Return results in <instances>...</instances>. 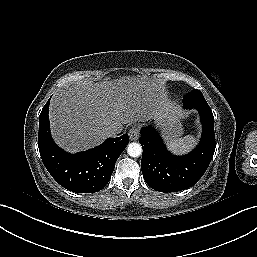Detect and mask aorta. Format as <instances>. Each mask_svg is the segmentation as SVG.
<instances>
[{"label":"aorta","instance_id":"aorta-1","mask_svg":"<svg viewBox=\"0 0 257 257\" xmlns=\"http://www.w3.org/2000/svg\"><path fill=\"white\" fill-rule=\"evenodd\" d=\"M127 153L131 157H139L142 154V146L139 143H130L127 146Z\"/></svg>","mask_w":257,"mask_h":257}]
</instances>
